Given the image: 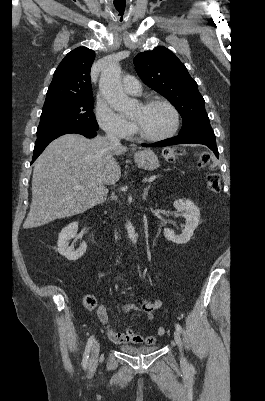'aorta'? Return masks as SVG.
I'll return each instance as SVG.
<instances>
[{"label": "aorta", "mask_w": 265, "mask_h": 401, "mask_svg": "<svg viewBox=\"0 0 265 401\" xmlns=\"http://www.w3.org/2000/svg\"><path fill=\"white\" fill-rule=\"evenodd\" d=\"M100 90L103 98L108 100L110 106H114L115 110H128L130 108V98H128L126 92H124L121 84V66L119 62L109 64L107 68H104L100 76ZM126 231L128 233V239L132 243H137V233L131 223L127 221Z\"/></svg>", "instance_id": "obj_1"}]
</instances>
